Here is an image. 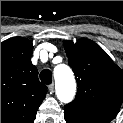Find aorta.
<instances>
[{
  "instance_id": "aorta-1",
  "label": "aorta",
  "mask_w": 123,
  "mask_h": 123,
  "mask_svg": "<svg viewBox=\"0 0 123 123\" xmlns=\"http://www.w3.org/2000/svg\"><path fill=\"white\" fill-rule=\"evenodd\" d=\"M56 82V94L63 103L73 100L76 92V82L71 68L67 65H59L54 69Z\"/></svg>"
}]
</instances>
